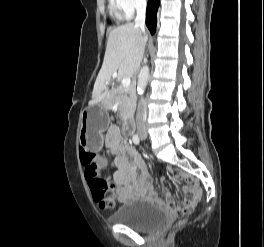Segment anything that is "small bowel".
Instances as JSON below:
<instances>
[{"mask_svg": "<svg viewBox=\"0 0 264 247\" xmlns=\"http://www.w3.org/2000/svg\"><path fill=\"white\" fill-rule=\"evenodd\" d=\"M105 148L107 153L114 158L111 167L114 169V182L119 187L117 196L121 202H130L134 197L158 199L153 190L152 180L145 161L124 142L116 125L110 126L107 130ZM99 164L105 166L106 161L101 159ZM174 174L177 178L189 183V186L183 189L185 193L189 195L198 194L200 197L201 189L196 179L179 172H174ZM163 194L167 200L171 199V193L167 187L163 188Z\"/></svg>", "mask_w": 264, "mask_h": 247, "instance_id": "obj_1", "label": "small bowel"}]
</instances>
